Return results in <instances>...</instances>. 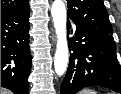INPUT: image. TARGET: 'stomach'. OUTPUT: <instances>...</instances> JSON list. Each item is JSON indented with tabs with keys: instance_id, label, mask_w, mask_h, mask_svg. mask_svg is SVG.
I'll use <instances>...</instances> for the list:
<instances>
[{
	"instance_id": "1",
	"label": "stomach",
	"mask_w": 121,
	"mask_h": 94,
	"mask_svg": "<svg viewBox=\"0 0 121 94\" xmlns=\"http://www.w3.org/2000/svg\"><path fill=\"white\" fill-rule=\"evenodd\" d=\"M80 94H96V93L93 90L86 89L83 90Z\"/></svg>"
}]
</instances>
